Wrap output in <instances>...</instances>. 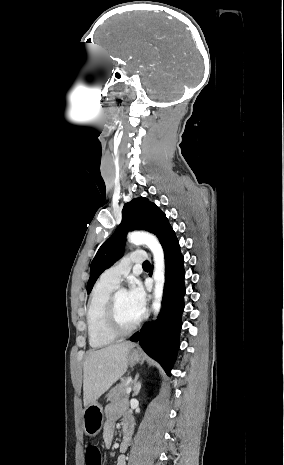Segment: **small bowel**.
Listing matches in <instances>:
<instances>
[{"label":"small bowel","mask_w":284,"mask_h":465,"mask_svg":"<svg viewBox=\"0 0 284 465\" xmlns=\"http://www.w3.org/2000/svg\"><path fill=\"white\" fill-rule=\"evenodd\" d=\"M121 419L122 424V440L119 447L120 455L117 460V465H127V452L131 442V434L133 431V422L126 413L124 403L111 404L106 408V421L103 430V442L106 447H110L115 433L117 421Z\"/></svg>","instance_id":"obj_1"}]
</instances>
